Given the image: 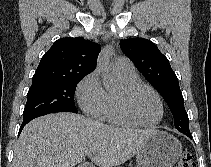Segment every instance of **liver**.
Segmentation results:
<instances>
[{"label":"liver","instance_id":"liver-1","mask_svg":"<svg viewBox=\"0 0 211 167\" xmlns=\"http://www.w3.org/2000/svg\"><path fill=\"white\" fill-rule=\"evenodd\" d=\"M154 131L112 127L73 113L42 116L22 130L13 167H74L87 153L99 167L118 166L136 155Z\"/></svg>","mask_w":211,"mask_h":167}]
</instances>
